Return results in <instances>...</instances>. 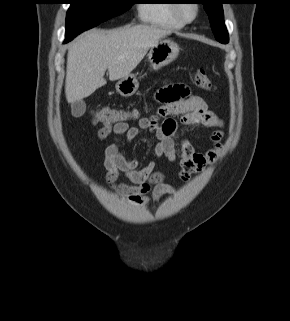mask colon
I'll return each instance as SVG.
<instances>
[{
    "instance_id": "colon-1",
    "label": "colon",
    "mask_w": 290,
    "mask_h": 321,
    "mask_svg": "<svg viewBox=\"0 0 290 321\" xmlns=\"http://www.w3.org/2000/svg\"><path fill=\"white\" fill-rule=\"evenodd\" d=\"M193 82L203 90L214 91V85L203 68H198L193 73ZM94 123L104 126L126 123L136 117V113L120 108L104 107L94 112Z\"/></svg>"
}]
</instances>
